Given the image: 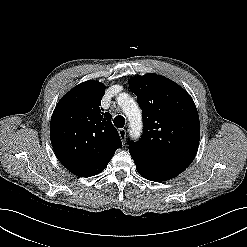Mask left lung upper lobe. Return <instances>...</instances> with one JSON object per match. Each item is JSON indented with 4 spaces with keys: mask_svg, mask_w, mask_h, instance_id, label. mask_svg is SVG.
Segmentation results:
<instances>
[{
    "mask_svg": "<svg viewBox=\"0 0 247 247\" xmlns=\"http://www.w3.org/2000/svg\"><path fill=\"white\" fill-rule=\"evenodd\" d=\"M143 110L140 141L130 142V154L165 165L187 168L199 145V116L191 96L173 81L153 73L129 81Z\"/></svg>",
    "mask_w": 247,
    "mask_h": 247,
    "instance_id": "obj_1",
    "label": "left lung upper lobe"
}]
</instances>
